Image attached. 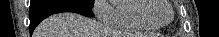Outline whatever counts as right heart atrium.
<instances>
[{"instance_id":"right-heart-atrium-1","label":"right heart atrium","mask_w":219,"mask_h":37,"mask_svg":"<svg viewBox=\"0 0 219 37\" xmlns=\"http://www.w3.org/2000/svg\"><path fill=\"white\" fill-rule=\"evenodd\" d=\"M116 1L95 0L93 3V12L96 17L106 23H112L115 19Z\"/></svg>"}]
</instances>
